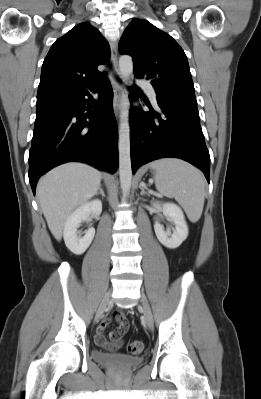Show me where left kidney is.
Wrapping results in <instances>:
<instances>
[{
  "mask_svg": "<svg viewBox=\"0 0 261 399\" xmlns=\"http://www.w3.org/2000/svg\"><path fill=\"white\" fill-rule=\"evenodd\" d=\"M152 206L160 208L164 216L175 225V229H173V233H171L169 229L165 231L164 226L156 222L154 224V230L158 240L169 249L179 247L188 236V226L182 209L174 203L153 202Z\"/></svg>",
  "mask_w": 261,
  "mask_h": 399,
  "instance_id": "left-kidney-1",
  "label": "left kidney"
}]
</instances>
